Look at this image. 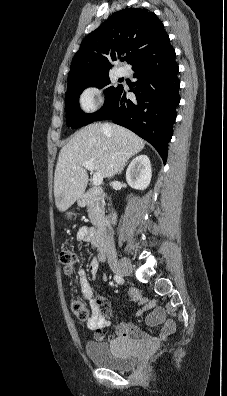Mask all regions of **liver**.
I'll return each mask as SVG.
<instances>
[{
  "label": "liver",
  "mask_w": 227,
  "mask_h": 396,
  "mask_svg": "<svg viewBox=\"0 0 227 396\" xmlns=\"http://www.w3.org/2000/svg\"><path fill=\"white\" fill-rule=\"evenodd\" d=\"M144 145L139 136L115 124L94 123L78 131L59 153L54 176L58 210L66 211L84 194L88 183L84 162H92L96 173L110 178Z\"/></svg>",
  "instance_id": "obj_1"
}]
</instances>
